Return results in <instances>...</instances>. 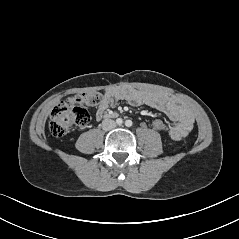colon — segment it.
<instances>
[{"instance_id": "5ec220e1", "label": "colon", "mask_w": 239, "mask_h": 239, "mask_svg": "<svg viewBox=\"0 0 239 239\" xmlns=\"http://www.w3.org/2000/svg\"><path fill=\"white\" fill-rule=\"evenodd\" d=\"M102 99L99 92H87L61 101L51 112L49 129L52 135L63 137L73 128L85 126L90 119V109L98 106ZM147 124L160 134L168 131L165 121L156 115L149 116Z\"/></svg>"}]
</instances>
